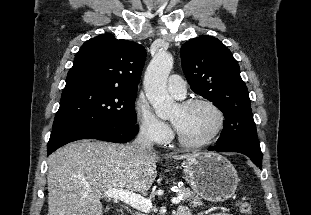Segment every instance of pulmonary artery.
<instances>
[{
	"label": "pulmonary artery",
	"instance_id": "1",
	"mask_svg": "<svg viewBox=\"0 0 311 215\" xmlns=\"http://www.w3.org/2000/svg\"><path fill=\"white\" fill-rule=\"evenodd\" d=\"M167 86L169 92L176 98L183 99L186 96V81L180 75H171L168 78Z\"/></svg>",
	"mask_w": 311,
	"mask_h": 215
}]
</instances>
